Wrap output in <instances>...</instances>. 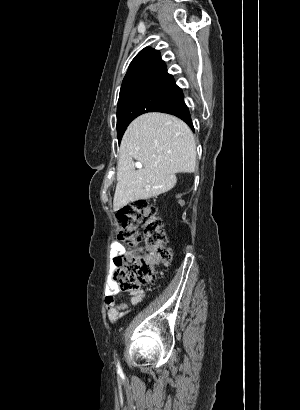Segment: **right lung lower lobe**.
I'll use <instances>...</instances> for the list:
<instances>
[{"instance_id":"obj_1","label":"right lung lower lobe","mask_w":300,"mask_h":410,"mask_svg":"<svg viewBox=\"0 0 300 410\" xmlns=\"http://www.w3.org/2000/svg\"><path fill=\"white\" fill-rule=\"evenodd\" d=\"M183 97L184 96L182 94L176 101H174L172 104L166 107L159 109L158 112L173 114L181 118L184 122H186L193 129L189 109L184 103Z\"/></svg>"}]
</instances>
